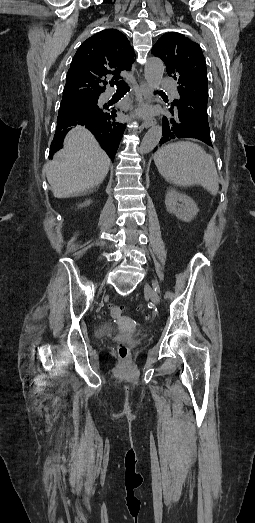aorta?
<instances>
[{
    "mask_svg": "<svg viewBox=\"0 0 255 523\" xmlns=\"http://www.w3.org/2000/svg\"><path fill=\"white\" fill-rule=\"evenodd\" d=\"M164 70L165 66L161 59L156 57L148 59L145 65V78L151 88L159 89ZM161 137L162 127L160 125L151 127L141 142L140 152L143 154L151 152L158 145Z\"/></svg>",
    "mask_w": 255,
    "mask_h": 523,
    "instance_id": "aorta-1",
    "label": "aorta"
}]
</instances>
